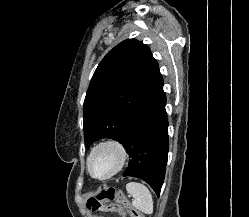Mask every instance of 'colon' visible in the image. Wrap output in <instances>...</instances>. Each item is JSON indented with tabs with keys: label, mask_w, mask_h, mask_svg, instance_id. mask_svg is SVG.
I'll return each mask as SVG.
<instances>
[{
	"label": "colon",
	"mask_w": 249,
	"mask_h": 217,
	"mask_svg": "<svg viewBox=\"0 0 249 217\" xmlns=\"http://www.w3.org/2000/svg\"><path fill=\"white\" fill-rule=\"evenodd\" d=\"M88 207L95 212H114L121 217H143L119 190L114 187L102 189L95 197L88 200Z\"/></svg>",
	"instance_id": "colon-1"
}]
</instances>
